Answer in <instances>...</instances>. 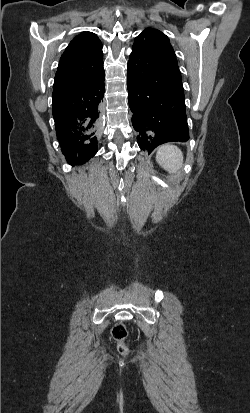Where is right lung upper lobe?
Here are the masks:
<instances>
[{
	"label": "right lung upper lobe",
	"mask_w": 250,
	"mask_h": 413,
	"mask_svg": "<svg viewBox=\"0 0 250 413\" xmlns=\"http://www.w3.org/2000/svg\"><path fill=\"white\" fill-rule=\"evenodd\" d=\"M103 70L102 44L92 32H82L61 56L53 89L92 81Z\"/></svg>",
	"instance_id": "obj_1"
}]
</instances>
